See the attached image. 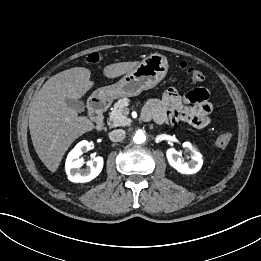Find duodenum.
<instances>
[{
	"mask_svg": "<svg viewBox=\"0 0 261 261\" xmlns=\"http://www.w3.org/2000/svg\"><path fill=\"white\" fill-rule=\"evenodd\" d=\"M109 105V99L103 95L94 97L89 103V113L95 121L98 130H101L104 125L103 114Z\"/></svg>",
	"mask_w": 261,
	"mask_h": 261,
	"instance_id": "obj_1",
	"label": "duodenum"
}]
</instances>
